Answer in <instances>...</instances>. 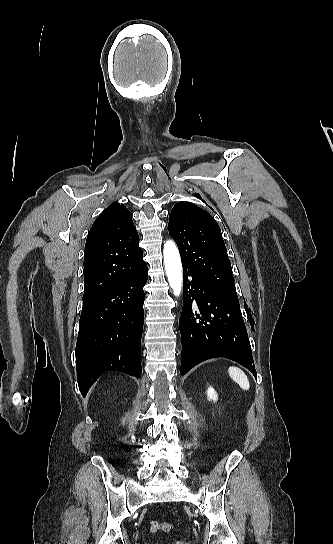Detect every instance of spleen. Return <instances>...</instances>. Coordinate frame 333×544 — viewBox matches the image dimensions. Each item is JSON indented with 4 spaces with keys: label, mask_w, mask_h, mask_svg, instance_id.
Listing matches in <instances>:
<instances>
[{
    "label": "spleen",
    "mask_w": 333,
    "mask_h": 544,
    "mask_svg": "<svg viewBox=\"0 0 333 544\" xmlns=\"http://www.w3.org/2000/svg\"><path fill=\"white\" fill-rule=\"evenodd\" d=\"M228 373L232 380L236 382L243 390H249V380L246 374L240 368L231 366L228 368Z\"/></svg>",
    "instance_id": "3e777b00"
}]
</instances>
